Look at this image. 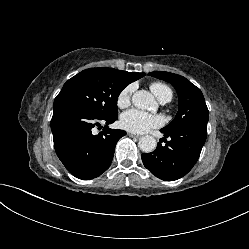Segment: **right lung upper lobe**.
<instances>
[{
  "instance_id": "obj_1",
  "label": "right lung upper lobe",
  "mask_w": 249,
  "mask_h": 249,
  "mask_svg": "<svg viewBox=\"0 0 249 249\" xmlns=\"http://www.w3.org/2000/svg\"><path fill=\"white\" fill-rule=\"evenodd\" d=\"M119 75L123 80H125L128 84L143 77L145 73H136V72H126L117 70Z\"/></svg>"
}]
</instances>
